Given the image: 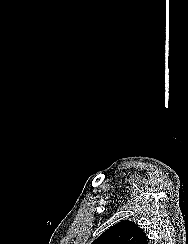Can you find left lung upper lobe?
Masks as SVG:
<instances>
[{
  "mask_svg": "<svg viewBox=\"0 0 188 244\" xmlns=\"http://www.w3.org/2000/svg\"><path fill=\"white\" fill-rule=\"evenodd\" d=\"M92 244H148V240L143 229L125 220L111 226Z\"/></svg>",
  "mask_w": 188,
  "mask_h": 244,
  "instance_id": "left-lung-upper-lobe-1",
  "label": "left lung upper lobe"
}]
</instances>
